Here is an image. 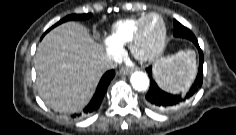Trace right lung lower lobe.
I'll return each instance as SVG.
<instances>
[{"label":"right lung lower lobe","instance_id":"1","mask_svg":"<svg viewBox=\"0 0 236 135\" xmlns=\"http://www.w3.org/2000/svg\"><path fill=\"white\" fill-rule=\"evenodd\" d=\"M114 76H115L114 70L107 71L103 75V77L101 78V80L97 86L96 92H95L92 100L84 109L85 114L92 113L99 108V106L103 100V97L106 93L107 87Z\"/></svg>","mask_w":236,"mask_h":135}]
</instances>
